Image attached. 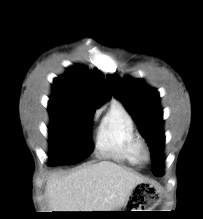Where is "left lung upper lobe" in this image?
I'll list each match as a JSON object with an SVG mask.
<instances>
[{
    "mask_svg": "<svg viewBox=\"0 0 203 219\" xmlns=\"http://www.w3.org/2000/svg\"><path fill=\"white\" fill-rule=\"evenodd\" d=\"M110 92L121 100L138 125L139 131L146 139L152 158L153 174L158 176L163 172L161 152L164 147L162 109L159 93L142 80L118 76H108Z\"/></svg>",
    "mask_w": 203,
    "mask_h": 219,
    "instance_id": "left-lung-upper-lobe-1",
    "label": "left lung upper lobe"
}]
</instances>
